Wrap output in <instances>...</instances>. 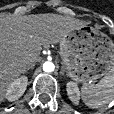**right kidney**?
<instances>
[{"label":"right kidney","mask_w":114,"mask_h":114,"mask_svg":"<svg viewBox=\"0 0 114 114\" xmlns=\"http://www.w3.org/2000/svg\"><path fill=\"white\" fill-rule=\"evenodd\" d=\"M27 84L26 76L15 79L6 90V99L11 102L19 99L24 94Z\"/></svg>","instance_id":"ca27d5eb"}]
</instances>
